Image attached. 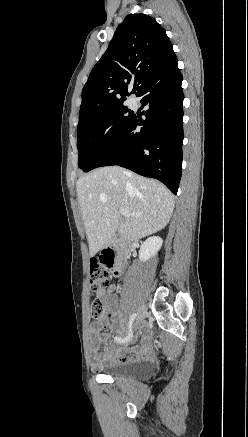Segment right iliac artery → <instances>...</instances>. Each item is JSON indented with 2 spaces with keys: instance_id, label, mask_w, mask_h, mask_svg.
<instances>
[{
  "instance_id": "82829eb1",
  "label": "right iliac artery",
  "mask_w": 248,
  "mask_h": 437,
  "mask_svg": "<svg viewBox=\"0 0 248 437\" xmlns=\"http://www.w3.org/2000/svg\"><path fill=\"white\" fill-rule=\"evenodd\" d=\"M135 318H136V313L132 314L131 317H130V320H129V329H130V332H129L128 336L125 337V338L115 337V340L117 342H119V343H126V342H128L130 340V338L132 336L131 326H132Z\"/></svg>"
}]
</instances>
